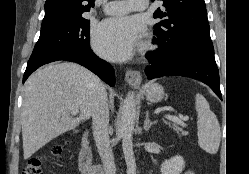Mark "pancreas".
<instances>
[{
  "mask_svg": "<svg viewBox=\"0 0 249 174\" xmlns=\"http://www.w3.org/2000/svg\"><path fill=\"white\" fill-rule=\"evenodd\" d=\"M171 128L174 130V131H176L177 133H181V135H183V136H186V135H188V132L187 131H184L181 127H179V125H177V124H173L172 126H171Z\"/></svg>",
  "mask_w": 249,
  "mask_h": 174,
  "instance_id": "obj_1",
  "label": "pancreas"
}]
</instances>
